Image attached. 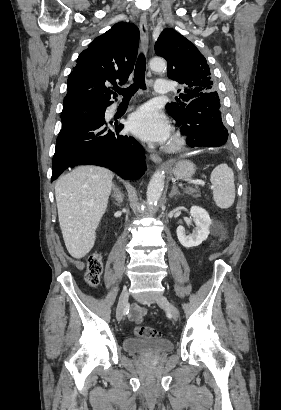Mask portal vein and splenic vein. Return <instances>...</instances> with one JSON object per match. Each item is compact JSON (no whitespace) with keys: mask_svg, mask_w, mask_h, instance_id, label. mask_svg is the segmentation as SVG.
<instances>
[{"mask_svg":"<svg viewBox=\"0 0 281 410\" xmlns=\"http://www.w3.org/2000/svg\"><path fill=\"white\" fill-rule=\"evenodd\" d=\"M189 183L190 184H197V185H201V186H204L205 185V182L204 181H202V180H190L189 181Z\"/></svg>","mask_w":281,"mask_h":410,"instance_id":"1","label":"portal vein and splenic vein"}]
</instances>
